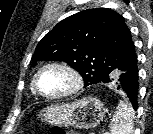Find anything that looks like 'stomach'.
Here are the masks:
<instances>
[{"instance_id":"1","label":"stomach","mask_w":153,"mask_h":134,"mask_svg":"<svg viewBox=\"0 0 153 134\" xmlns=\"http://www.w3.org/2000/svg\"><path fill=\"white\" fill-rule=\"evenodd\" d=\"M106 109L101 101L88 97L71 104H55L42 112L43 121L52 126L92 129L105 118Z\"/></svg>"}]
</instances>
